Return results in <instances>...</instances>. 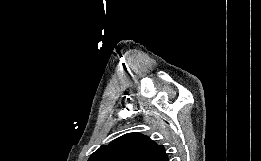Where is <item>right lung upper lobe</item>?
Segmentation results:
<instances>
[{
    "mask_svg": "<svg viewBox=\"0 0 261 161\" xmlns=\"http://www.w3.org/2000/svg\"><path fill=\"white\" fill-rule=\"evenodd\" d=\"M88 161H168V157L162 145L140 133H128L101 146Z\"/></svg>",
    "mask_w": 261,
    "mask_h": 161,
    "instance_id": "right-lung-upper-lobe-1",
    "label": "right lung upper lobe"
}]
</instances>
